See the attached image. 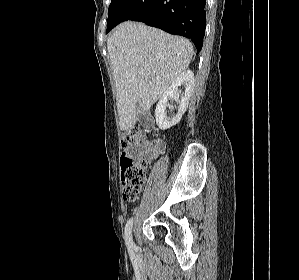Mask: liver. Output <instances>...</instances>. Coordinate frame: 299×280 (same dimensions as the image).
<instances>
[{
  "mask_svg": "<svg viewBox=\"0 0 299 280\" xmlns=\"http://www.w3.org/2000/svg\"><path fill=\"white\" fill-rule=\"evenodd\" d=\"M117 91L121 130L133 127L184 72L193 56L188 39L139 22L126 21L107 40ZM139 69L144 74H139Z\"/></svg>",
  "mask_w": 299,
  "mask_h": 280,
  "instance_id": "1",
  "label": "liver"
}]
</instances>
